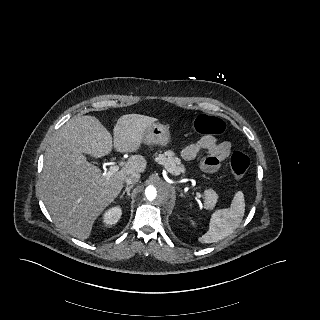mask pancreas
<instances>
[{
    "label": "pancreas",
    "instance_id": "obj_1",
    "mask_svg": "<svg viewBox=\"0 0 320 320\" xmlns=\"http://www.w3.org/2000/svg\"><path fill=\"white\" fill-rule=\"evenodd\" d=\"M156 162L163 165L168 172L174 175H180L181 173H185L186 169L183 165H181V159L175 156L174 152L168 150L163 154H158L155 158ZM205 208L213 209L218 199V195L212 189L205 190Z\"/></svg>",
    "mask_w": 320,
    "mask_h": 320
}]
</instances>
